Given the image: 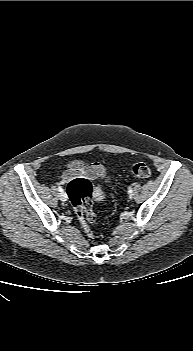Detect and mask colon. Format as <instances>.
Listing matches in <instances>:
<instances>
[{"label": "colon", "instance_id": "colon-1", "mask_svg": "<svg viewBox=\"0 0 193 351\" xmlns=\"http://www.w3.org/2000/svg\"><path fill=\"white\" fill-rule=\"evenodd\" d=\"M130 172L134 177L140 179H147L152 175L149 166L142 162L133 164ZM67 192L75 215L87 235L91 236L90 226L96 223V216L93 212V186L91 182L84 177L74 178L68 183Z\"/></svg>", "mask_w": 193, "mask_h": 351}]
</instances>
